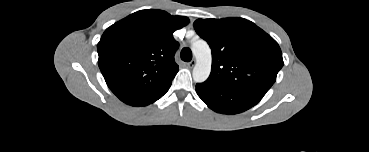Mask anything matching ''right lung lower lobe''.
Listing matches in <instances>:
<instances>
[{
	"label": "right lung lower lobe",
	"mask_w": 369,
	"mask_h": 152,
	"mask_svg": "<svg viewBox=\"0 0 369 152\" xmlns=\"http://www.w3.org/2000/svg\"><path fill=\"white\" fill-rule=\"evenodd\" d=\"M171 86V85H170ZM169 86V87H170ZM169 87L168 88H166L162 93H160L159 95H157V96H155V97H153V98H150V99H148V100H146V101H143V102H141V103H139V104H137V105H133V106H146V105H148V104H151V103H153V102H155L156 100H158L159 98H161L167 91H168V89H169Z\"/></svg>",
	"instance_id": "obj_1"
}]
</instances>
